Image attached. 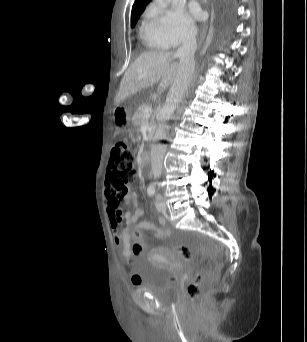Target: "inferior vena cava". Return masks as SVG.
Wrapping results in <instances>:
<instances>
[{
	"label": "inferior vena cava",
	"instance_id": "1",
	"mask_svg": "<svg viewBox=\"0 0 307 342\" xmlns=\"http://www.w3.org/2000/svg\"><path fill=\"white\" fill-rule=\"evenodd\" d=\"M196 36L197 30H195V28H189L183 40L182 46H180L176 52V56H179L180 62L176 78L166 98V104L171 108V110L168 112L169 118L172 116V114H174V108L176 104H180V102H182L183 96L185 92H187L194 74V54L197 48ZM161 136L166 138V134H164V132H161ZM165 152V146H161V148L154 146V148L151 150V168L153 178H155V180L156 178H160L162 174L163 158Z\"/></svg>",
	"mask_w": 307,
	"mask_h": 342
}]
</instances>
